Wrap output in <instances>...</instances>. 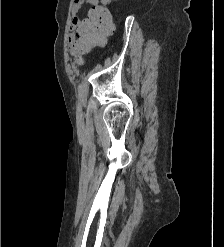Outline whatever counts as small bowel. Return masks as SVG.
<instances>
[{
	"label": "small bowel",
	"instance_id": "small-bowel-1",
	"mask_svg": "<svg viewBox=\"0 0 224 247\" xmlns=\"http://www.w3.org/2000/svg\"><path fill=\"white\" fill-rule=\"evenodd\" d=\"M98 1L99 0H74L69 22V30L71 32L69 37V47L71 52L74 54L84 51L78 38L80 28L85 20L80 17V12L85 5H90L91 7L97 6Z\"/></svg>",
	"mask_w": 224,
	"mask_h": 247
}]
</instances>
